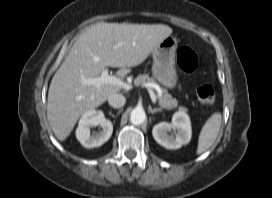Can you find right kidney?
<instances>
[{
    "mask_svg": "<svg viewBox=\"0 0 272 198\" xmlns=\"http://www.w3.org/2000/svg\"><path fill=\"white\" fill-rule=\"evenodd\" d=\"M100 125L102 131L91 135L90 128ZM113 132V125L107 120L102 111L89 110L85 112L78 124L76 137L85 148L99 147L109 140Z\"/></svg>",
    "mask_w": 272,
    "mask_h": 198,
    "instance_id": "obj_1",
    "label": "right kidney"
}]
</instances>
